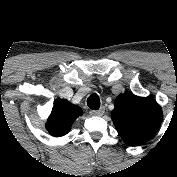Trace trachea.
Wrapping results in <instances>:
<instances>
[{"instance_id":"1","label":"trachea","mask_w":177,"mask_h":177,"mask_svg":"<svg viewBox=\"0 0 177 177\" xmlns=\"http://www.w3.org/2000/svg\"><path fill=\"white\" fill-rule=\"evenodd\" d=\"M87 105L90 109L98 110L100 108V99L96 93L91 94L87 99Z\"/></svg>"}]
</instances>
